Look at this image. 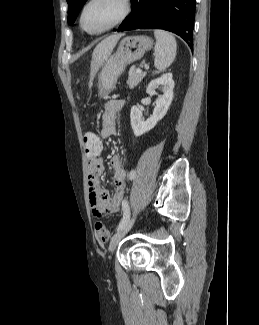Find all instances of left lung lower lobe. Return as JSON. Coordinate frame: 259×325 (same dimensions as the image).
<instances>
[{
    "label": "left lung lower lobe",
    "instance_id": "0a47b994",
    "mask_svg": "<svg viewBox=\"0 0 259 325\" xmlns=\"http://www.w3.org/2000/svg\"><path fill=\"white\" fill-rule=\"evenodd\" d=\"M131 14L114 29H164L183 38L193 48L196 0H131Z\"/></svg>",
    "mask_w": 259,
    "mask_h": 325
}]
</instances>
